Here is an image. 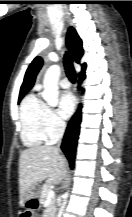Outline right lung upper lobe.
I'll return each instance as SVG.
<instances>
[{
    "label": "right lung upper lobe",
    "mask_w": 132,
    "mask_h": 217,
    "mask_svg": "<svg viewBox=\"0 0 132 217\" xmlns=\"http://www.w3.org/2000/svg\"><path fill=\"white\" fill-rule=\"evenodd\" d=\"M66 41L75 61L77 63H80V59L84 53L82 49V41L73 27H70L68 29ZM42 64H43L42 58L36 57L28 67L25 74L24 81L20 89L19 99H22L23 96L34 85L36 75L40 70V68L42 67ZM85 69H86V64L84 63L82 64V72H81L82 78L85 77Z\"/></svg>",
    "instance_id": "1"
}]
</instances>
